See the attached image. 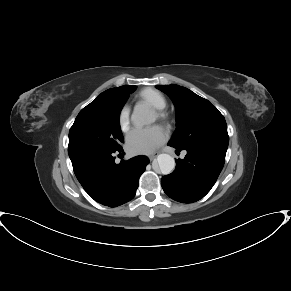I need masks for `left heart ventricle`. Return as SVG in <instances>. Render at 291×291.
Wrapping results in <instances>:
<instances>
[{
    "instance_id": "1",
    "label": "left heart ventricle",
    "mask_w": 291,
    "mask_h": 291,
    "mask_svg": "<svg viewBox=\"0 0 291 291\" xmlns=\"http://www.w3.org/2000/svg\"><path fill=\"white\" fill-rule=\"evenodd\" d=\"M157 118H156V114L154 113L153 115V121H155Z\"/></svg>"
}]
</instances>
